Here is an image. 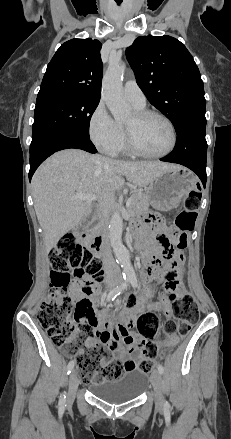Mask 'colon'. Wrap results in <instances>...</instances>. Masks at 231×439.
<instances>
[{"label": "colon", "mask_w": 231, "mask_h": 439, "mask_svg": "<svg viewBox=\"0 0 231 439\" xmlns=\"http://www.w3.org/2000/svg\"><path fill=\"white\" fill-rule=\"evenodd\" d=\"M201 195L197 192L186 197L183 210L174 219L178 229L176 239L180 243L187 241V234L194 229ZM154 220L162 222L160 217ZM168 223H164L167 228ZM160 241L167 240L164 234H159ZM51 288L45 300L38 307V321L40 326L52 341L66 355H75L79 368V376L83 382L89 383L100 380L117 381L122 378L124 371L138 367L150 373L154 367V360L159 349L152 339L157 335L160 320L154 313L142 314L137 321L139 334L147 339L143 345L145 359L138 363L129 361L127 365L120 361L111 360L108 351L93 341V334L89 327L81 324L78 317L88 308L84 301H74L76 288L85 293L94 291V286L103 279L101 260L88 248L78 242L73 234L63 236L50 252ZM166 282L176 278L173 272L165 273ZM169 300L173 307L166 314L164 329L169 339L178 341L187 335L198 320V306L192 295L172 294ZM132 298L130 305L134 303ZM86 351L80 352L83 347Z\"/></svg>", "instance_id": "obj_1"}]
</instances>
